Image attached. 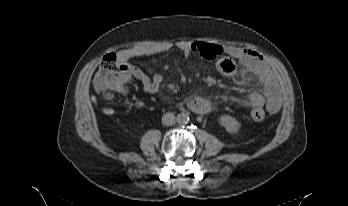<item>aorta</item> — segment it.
Listing matches in <instances>:
<instances>
[{"label":"aorta","instance_id":"aorta-1","mask_svg":"<svg viewBox=\"0 0 348 206\" xmlns=\"http://www.w3.org/2000/svg\"><path fill=\"white\" fill-rule=\"evenodd\" d=\"M176 121L180 125L187 124L189 122V115L187 113H180L177 115Z\"/></svg>","mask_w":348,"mask_h":206}]
</instances>
